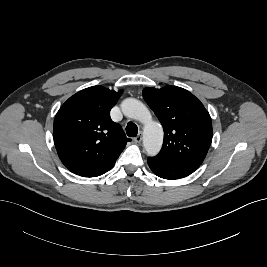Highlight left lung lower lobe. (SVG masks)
I'll return each instance as SVG.
<instances>
[{"label":"left lung lower lobe","mask_w":267,"mask_h":267,"mask_svg":"<svg viewBox=\"0 0 267 267\" xmlns=\"http://www.w3.org/2000/svg\"><path fill=\"white\" fill-rule=\"evenodd\" d=\"M147 162L154 174H156L161 178L171 179V180L184 178L193 173L197 169L195 167L188 165L160 162L152 157H149L147 159Z\"/></svg>","instance_id":"left-lung-lower-lobe-1"}]
</instances>
